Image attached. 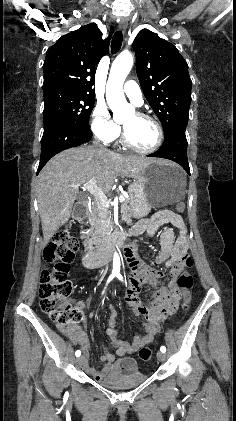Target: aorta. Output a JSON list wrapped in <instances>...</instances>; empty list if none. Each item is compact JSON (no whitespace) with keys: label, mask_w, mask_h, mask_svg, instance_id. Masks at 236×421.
<instances>
[{"label":"aorta","mask_w":236,"mask_h":421,"mask_svg":"<svg viewBox=\"0 0 236 421\" xmlns=\"http://www.w3.org/2000/svg\"><path fill=\"white\" fill-rule=\"evenodd\" d=\"M132 66L133 56L131 52H121V54L115 58L111 66L106 86V98L112 110H114V102H123L124 100L122 86ZM118 271H120V257L117 253H115L113 257L112 273H118Z\"/></svg>","instance_id":"1"}]
</instances>
